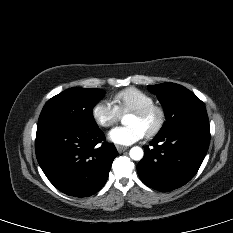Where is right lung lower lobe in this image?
Wrapping results in <instances>:
<instances>
[{
  "label": "right lung lower lobe",
  "instance_id": "98d812e1",
  "mask_svg": "<svg viewBox=\"0 0 233 233\" xmlns=\"http://www.w3.org/2000/svg\"><path fill=\"white\" fill-rule=\"evenodd\" d=\"M36 157L49 181L61 192L88 197L106 183L117 150L98 127L63 121L39 124Z\"/></svg>",
  "mask_w": 233,
  "mask_h": 233
}]
</instances>
